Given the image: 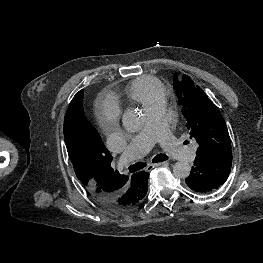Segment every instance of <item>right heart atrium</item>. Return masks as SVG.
I'll use <instances>...</instances> for the list:
<instances>
[{"label": "right heart atrium", "instance_id": "d8ad5b80", "mask_svg": "<svg viewBox=\"0 0 263 263\" xmlns=\"http://www.w3.org/2000/svg\"><path fill=\"white\" fill-rule=\"evenodd\" d=\"M97 117L107 135L115 133L119 108L110 97L101 99L97 104Z\"/></svg>", "mask_w": 263, "mask_h": 263}]
</instances>
